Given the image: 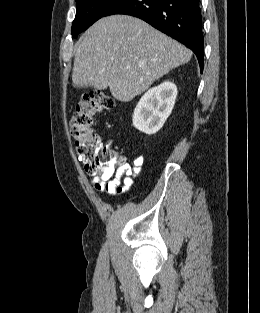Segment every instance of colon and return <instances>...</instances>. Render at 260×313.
Masks as SVG:
<instances>
[{"label":"colon","mask_w":260,"mask_h":313,"mask_svg":"<svg viewBox=\"0 0 260 313\" xmlns=\"http://www.w3.org/2000/svg\"><path fill=\"white\" fill-rule=\"evenodd\" d=\"M113 107L114 99L111 96L101 91H91L83 95L70 120L79 159L87 173L103 180L124 169V158L108 148L94 132L96 116Z\"/></svg>","instance_id":"obj_1"}]
</instances>
